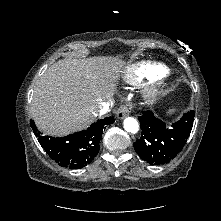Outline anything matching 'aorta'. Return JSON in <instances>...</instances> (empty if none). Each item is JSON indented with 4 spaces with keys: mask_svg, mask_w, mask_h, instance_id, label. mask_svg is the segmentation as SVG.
<instances>
[{
    "mask_svg": "<svg viewBox=\"0 0 221 221\" xmlns=\"http://www.w3.org/2000/svg\"><path fill=\"white\" fill-rule=\"evenodd\" d=\"M123 124H124V129L127 132L135 134L139 130V124H138L137 120L135 118H133V117H127L124 120Z\"/></svg>",
    "mask_w": 221,
    "mask_h": 221,
    "instance_id": "obj_1",
    "label": "aorta"
}]
</instances>
